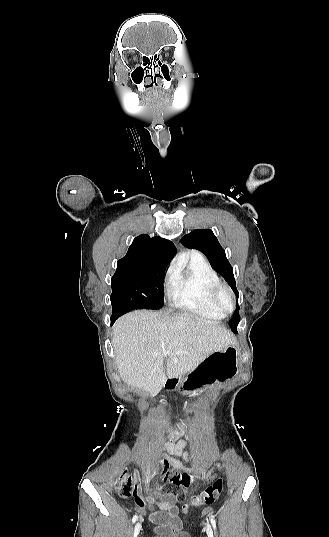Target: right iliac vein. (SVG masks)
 Here are the masks:
<instances>
[{"label":"right iliac vein","mask_w":329,"mask_h":537,"mask_svg":"<svg viewBox=\"0 0 329 537\" xmlns=\"http://www.w3.org/2000/svg\"><path fill=\"white\" fill-rule=\"evenodd\" d=\"M140 530H141V523L138 522V523L135 525V528H134V531H133V537H137L138 534L140 533Z\"/></svg>","instance_id":"right-iliac-vein-1"}]
</instances>
